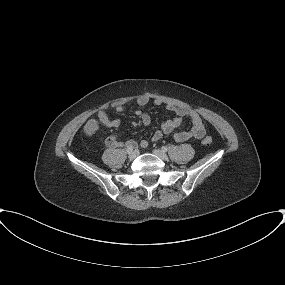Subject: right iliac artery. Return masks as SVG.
<instances>
[{
	"instance_id": "1",
	"label": "right iliac artery",
	"mask_w": 285,
	"mask_h": 285,
	"mask_svg": "<svg viewBox=\"0 0 285 285\" xmlns=\"http://www.w3.org/2000/svg\"><path fill=\"white\" fill-rule=\"evenodd\" d=\"M132 151H133V147L127 146V152L129 153V152H132Z\"/></svg>"
}]
</instances>
